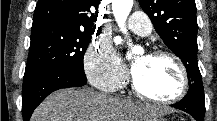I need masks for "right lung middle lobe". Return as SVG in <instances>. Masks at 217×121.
Segmentation results:
<instances>
[{"label":"right lung middle lobe","instance_id":"1","mask_svg":"<svg viewBox=\"0 0 217 121\" xmlns=\"http://www.w3.org/2000/svg\"><path fill=\"white\" fill-rule=\"evenodd\" d=\"M94 30L51 22L32 26L24 75L49 68L85 75L83 57Z\"/></svg>","mask_w":217,"mask_h":121}]
</instances>
